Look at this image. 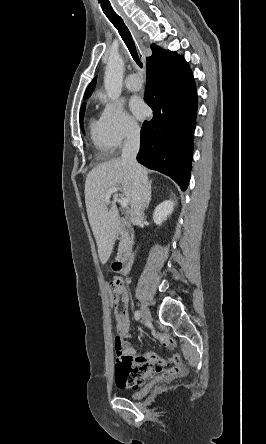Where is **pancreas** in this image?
I'll return each mask as SVG.
<instances>
[{
    "instance_id": "1",
    "label": "pancreas",
    "mask_w": 266,
    "mask_h": 444,
    "mask_svg": "<svg viewBox=\"0 0 266 444\" xmlns=\"http://www.w3.org/2000/svg\"><path fill=\"white\" fill-rule=\"evenodd\" d=\"M125 236H127V233L125 232ZM121 241L123 242V236H122V238H121Z\"/></svg>"
}]
</instances>
